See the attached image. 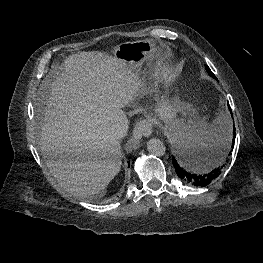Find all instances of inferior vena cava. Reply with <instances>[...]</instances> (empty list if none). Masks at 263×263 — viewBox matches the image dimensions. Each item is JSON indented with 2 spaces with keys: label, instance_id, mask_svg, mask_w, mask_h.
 Returning a JSON list of instances; mask_svg holds the SVG:
<instances>
[{
  "label": "inferior vena cava",
  "instance_id": "1",
  "mask_svg": "<svg viewBox=\"0 0 263 263\" xmlns=\"http://www.w3.org/2000/svg\"><path fill=\"white\" fill-rule=\"evenodd\" d=\"M110 137L114 140H121L127 135L128 120L126 117L114 120L109 127Z\"/></svg>",
  "mask_w": 263,
  "mask_h": 263
}]
</instances>
